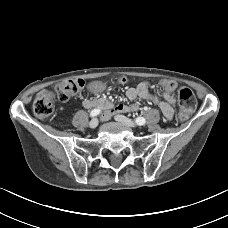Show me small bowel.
I'll return each instance as SVG.
<instances>
[{
  "instance_id": "1",
  "label": "small bowel",
  "mask_w": 228,
  "mask_h": 228,
  "mask_svg": "<svg viewBox=\"0 0 228 228\" xmlns=\"http://www.w3.org/2000/svg\"><path fill=\"white\" fill-rule=\"evenodd\" d=\"M126 97L129 100H135L137 98L147 100L155 104L163 113L166 119L171 120L175 115V98L170 92H154L151 85L148 82H141L136 87L127 89ZM105 100L96 96L87 98L83 101V105L86 108L102 107L106 109L104 118L108 119L114 114L121 112L137 111L139 106L135 103L130 105L119 104L114 107H106L104 105Z\"/></svg>"
}]
</instances>
